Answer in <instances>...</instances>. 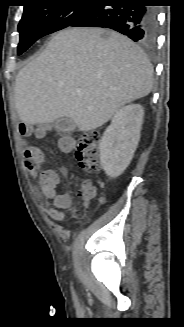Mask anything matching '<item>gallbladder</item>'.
Listing matches in <instances>:
<instances>
[{
	"mask_svg": "<svg viewBox=\"0 0 184 327\" xmlns=\"http://www.w3.org/2000/svg\"><path fill=\"white\" fill-rule=\"evenodd\" d=\"M76 124L73 119L69 117H63L61 119H58L54 127L58 132H69L72 131L75 128Z\"/></svg>",
	"mask_w": 184,
	"mask_h": 327,
	"instance_id": "1",
	"label": "gallbladder"
}]
</instances>
